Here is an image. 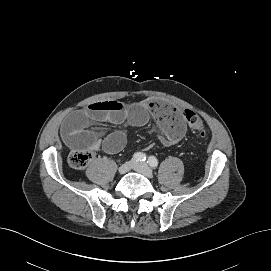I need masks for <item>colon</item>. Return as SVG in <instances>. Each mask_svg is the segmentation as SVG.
<instances>
[{
	"label": "colon",
	"mask_w": 271,
	"mask_h": 271,
	"mask_svg": "<svg viewBox=\"0 0 271 271\" xmlns=\"http://www.w3.org/2000/svg\"><path fill=\"white\" fill-rule=\"evenodd\" d=\"M182 114L191 130L197 132L201 136L206 133L205 125L198 114L189 109L184 110ZM92 158L93 152L90 150H74L70 153L68 161L72 167L83 169L88 165Z\"/></svg>",
	"instance_id": "1"
}]
</instances>
